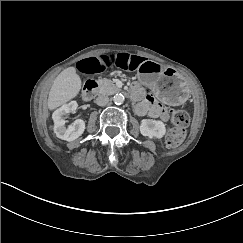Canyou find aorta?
<instances>
[{
    "instance_id": "aorta-1",
    "label": "aorta",
    "mask_w": 243,
    "mask_h": 243,
    "mask_svg": "<svg viewBox=\"0 0 243 243\" xmlns=\"http://www.w3.org/2000/svg\"><path fill=\"white\" fill-rule=\"evenodd\" d=\"M125 101V97L123 94L121 93H116L114 96H113V102L114 104L116 105H121L123 104Z\"/></svg>"
}]
</instances>
